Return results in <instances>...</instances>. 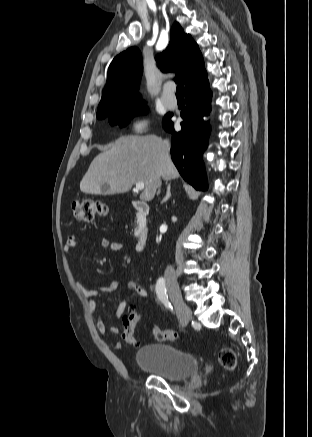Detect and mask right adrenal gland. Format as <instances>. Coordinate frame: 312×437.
<instances>
[{
  "label": "right adrenal gland",
  "instance_id": "obj_1",
  "mask_svg": "<svg viewBox=\"0 0 312 437\" xmlns=\"http://www.w3.org/2000/svg\"><path fill=\"white\" fill-rule=\"evenodd\" d=\"M166 184H167V182H166ZM170 188H171V183L167 184V192H166L165 197L162 200V203L167 202L169 200V198L171 197Z\"/></svg>",
  "mask_w": 312,
  "mask_h": 437
}]
</instances>
